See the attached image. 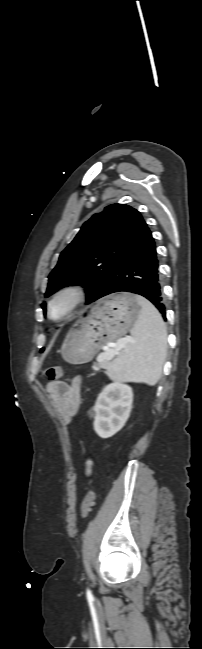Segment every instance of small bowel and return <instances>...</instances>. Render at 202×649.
Here are the masks:
<instances>
[{"instance_id":"small-bowel-1","label":"small bowel","mask_w":202,"mask_h":649,"mask_svg":"<svg viewBox=\"0 0 202 649\" xmlns=\"http://www.w3.org/2000/svg\"><path fill=\"white\" fill-rule=\"evenodd\" d=\"M81 383V377L77 376L72 379L70 384L64 381H54L47 384V392L51 397L52 406L65 424H70L72 417L80 406ZM86 464V474L89 475L92 471L93 462L89 459Z\"/></svg>"}]
</instances>
